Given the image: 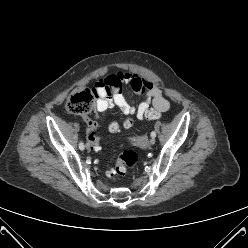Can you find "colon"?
Returning <instances> with one entry per match:
<instances>
[{
    "label": "colon",
    "instance_id": "1",
    "mask_svg": "<svg viewBox=\"0 0 248 248\" xmlns=\"http://www.w3.org/2000/svg\"><path fill=\"white\" fill-rule=\"evenodd\" d=\"M98 96L96 87L93 89L80 88L70 95L66 102L67 110L75 115L85 116L87 115L93 105L94 98ZM161 116V113L157 110H149L146 113V118L153 120ZM121 127L126 131H131L135 127V119L133 117H126L121 120ZM110 132H117L119 125L117 122H113L109 126ZM86 143L91 148H98L101 145V138L98 132L93 128H87L85 130ZM140 162V155L133 150H126L122 152L115 166L110 170L109 177L118 179L123 177L129 170L133 169Z\"/></svg>",
    "mask_w": 248,
    "mask_h": 248
}]
</instances>
